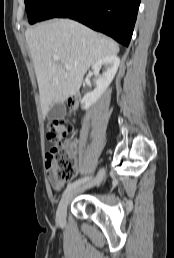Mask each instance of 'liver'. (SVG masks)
Segmentation results:
<instances>
[{
	"label": "liver",
	"mask_w": 174,
	"mask_h": 258,
	"mask_svg": "<svg viewBox=\"0 0 174 258\" xmlns=\"http://www.w3.org/2000/svg\"><path fill=\"white\" fill-rule=\"evenodd\" d=\"M25 37L44 116L54 103H63L79 91L90 66L119 52L115 41L70 19H55L27 29ZM54 56L60 59L55 61ZM65 64L72 68L66 70Z\"/></svg>",
	"instance_id": "6515ba94"
}]
</instances>
